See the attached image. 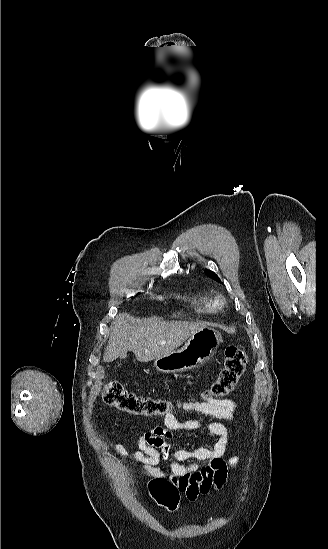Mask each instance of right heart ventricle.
<instances>
[{"label":"right heart ventricle","mask_w":328,"mask_h":549,"mask_svg":"<svg viewBox=\"0 0 328 549\" xmlns=\"http://www.w3.org/2000/svg\"><path fill=\"white\" fill-rule=\"evenodd\" d=\"M195 310L200 314H213L216 311L214 300L205 294L196 296Z\"/></svg>","instance_id":"1"}]
</instances>
